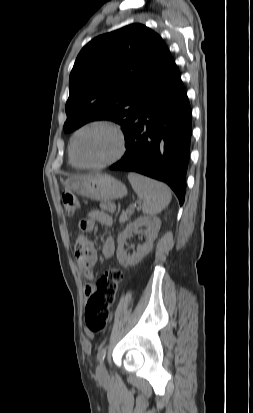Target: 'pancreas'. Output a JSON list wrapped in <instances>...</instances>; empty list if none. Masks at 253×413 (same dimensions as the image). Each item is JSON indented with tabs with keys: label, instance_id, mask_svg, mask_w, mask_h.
Instances as JSON below:
<instances>
[{
	"label": "pancreas",
	"instance_id": "obj_1",
	"mask_svg": "<svg viewBox=\"0 0 253 413\" xmlns=\"http://www.w3.org/2000/svg\"><path fill=\"white\" fill-rule=\"evenodd\" d=\"M131 214H132V209L131 208L126 210V211H123L120 215L119 222L120 223L126 222L129 219Z\"/></svg>",
	"mask_w": 253,
	"mask_h": 413
}]
</instances>
